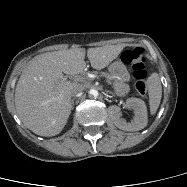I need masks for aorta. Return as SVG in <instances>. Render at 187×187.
Segmentation results:
<instances>
[{"label": "aorta", "mask_w": 187, "mask_h": 187, "mask_svg": "<svg viewBox=\"0 0 187 187\" xmlns=\"http://www.w3.org/2000/svg\"><path fill=\"white\" fill-rule=\"evenodd\" d=\"M89 94L92 95V96H94V97H97V96H98V91L95 90V89H91V90L89 91Z\"/></svg>", "instance_id": "aorta-1"}]
</instances>
